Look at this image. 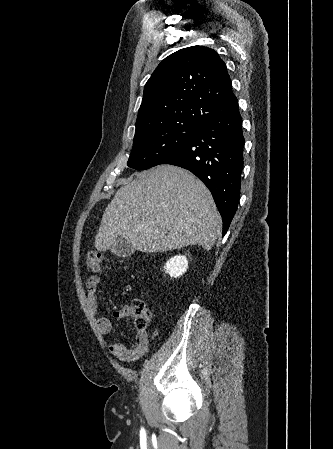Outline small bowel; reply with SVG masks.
<instances>
[{
	"label": "small bowel",
	"instance_id": "small-bowel-1",
	"mask_svg": "<svg viewBox=\"0 0 333 449\" xmlns=\"http://www.w3.org/2000/svg\"><path fill=\"white\" fill-rule=\"evenodd\" d=\"M99 284L100 277L91 276L86 282L87 303L90 312L96 317L97 328L101 334H108L112 330V322L106 316L99 315ZM114 316L126 320L130 317L129 307L115 311ZM150 339L146 329H137L135 338L130 346L121 342L112 343L109 346L110 353L123 362H133L141 358L149 348Z\"/></svg>",
	"mask_w": 333,
	"mask_h": 449
}]
</instances>
